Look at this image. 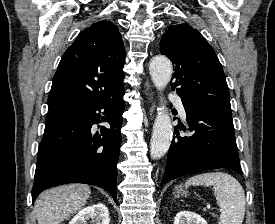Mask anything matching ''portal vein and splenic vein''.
Instances as JSON below:
<instances>
[{
  "instance_id": "portal-vein-and-splenic-vein-1",
  "label": "portal vein and splenic vein",
  "mask_w": 275,
  "mask_h": 224,
  "mask_svg": "<svg viewBox=\"0 0 275 224\" xmlns=\"http://www.w3.org/2000/svg\"><path fill=\"white\" fill-rule=\"evenodd\" d=\"M206 208H207V209H209L210 207H209V206H207Z\"/></svg>"
}]
</instances>
